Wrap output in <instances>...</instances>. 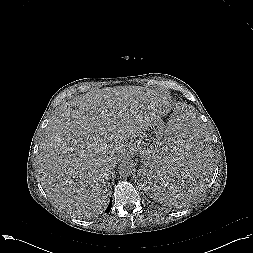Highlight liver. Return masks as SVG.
<instances>
[{"label":"liver","instance_id":"liver-1","mask_svg":"<svg viewBox=\"0 0 253 253\" xmlns=\"http://www.w3.org/2000/svg\"><path fill=\"white\" fill-rule=\"evenodd\" d=\"M170 109L165 94L138 86L98 89L63 102L37 155L49 199L77 218L101 214L109 201L111 170L130 143Z\"/></svg>","mask_w":253,"mask_h":253}]
</instances>
